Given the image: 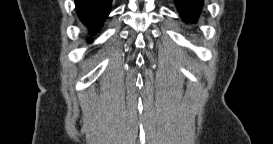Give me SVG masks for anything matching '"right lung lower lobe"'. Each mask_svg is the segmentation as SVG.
<instances>
[{
  "label": "right lung lower lobe",
  "instance_id": "98d812e1",
  "mask_svg": "<svg viewBox=\"0 0 273 144\" xmlns=\"http://www.w3.org/2000/svg\"><path fill=\"white\" fill-rule=\"evenodd\" d=\"M112 0H75L80 20L90 32L98 30L110 13Z\"/></svg>",
  "mask_w": 273,
  "mask_h": 144
}]
</instances>
